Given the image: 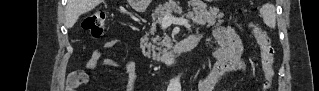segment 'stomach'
<instances>
[{
	"label": "stomach",
	"mask_w": 319,
	"mask_h": 91,
	"mask_svg": "<svg viewBox=\"0 0 319 91\" xmlns=\"http://www.w3.org/2000/svg\"><path fill=\"white\" fill-rule=\"evenodd\" d=\"M136 2H138V1H136ZM142 2H143V3H142L143 5H146V4L148 3V0H142ZM194 2H195V1H194ZM137 5H138V3H137Z\"/></svg>",
	"instance_id": "obj_1"
}]
</instances>
